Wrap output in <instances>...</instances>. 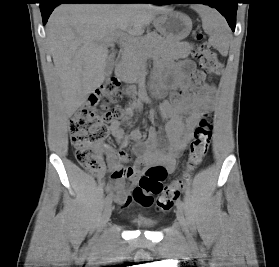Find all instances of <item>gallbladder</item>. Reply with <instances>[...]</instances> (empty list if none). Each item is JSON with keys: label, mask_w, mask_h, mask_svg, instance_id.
Returning <instances> with one entry per match:
<instances>
[{"label": "gallbladder", "mask_w": 279, "mask_h": 267, "mask_svg": "<svg viewBox=\"0 0 279 267\" xmlns=\"http://www.w3.org/2000/svg\"><path fill=\"white\" fill-rule=\"evenodd\" d=\"M113 68H114V60L112 57H109L106 61L105 69H104L106 78L112 74Z\"/></svg>", "instance_id": "1"}]
</instances>
